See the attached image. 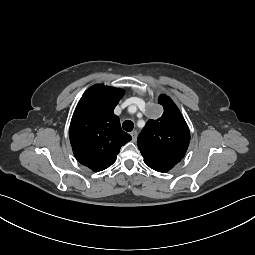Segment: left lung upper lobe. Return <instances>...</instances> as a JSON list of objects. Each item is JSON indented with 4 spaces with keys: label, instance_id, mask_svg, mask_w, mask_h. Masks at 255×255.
Returning a JSON list of instances; mask_svg holds the SVG:
<instances>
[{
    "label": "left lung upper lobe",
    "instance_id": "obj_1",
    "mask_svg": "<svg viewBox=\"0 0 255 255\" xmlns=\"http://www.w3.org/2000/svg\"><path fill=\"white\" fill-rule=\"evenodd\" d=\"M162 116L150 119L138 136V148L144 162L158 172H167L185 156L190 142L189 128L174 102L166 95L159 97Z\"/></svg>",
    "mask_w": 255,
    "mask_h": 255
}]
</instances>
